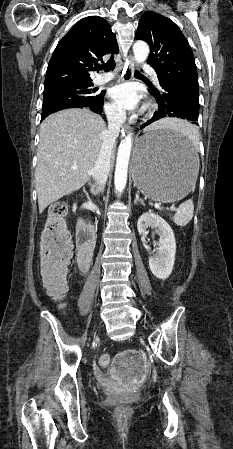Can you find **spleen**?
Returning <instances> with one entry per match:
<instances>
[{"mask_svg": "<svg viewBox=\"0 0 233 449\" xmlns=\"http://www.w3.org/2000/svg\"><path fill=\"white\" fill-rule=\"evenodd\" d=\"M172 133H182L183 138H186L187 142L199 141V134L196 132L195 124L173 125ZM193 212H194L193 201L189 199L183 202L182 204L179 205L178 212L173 216L174 223L178 226L187 225L193 217Z\"/></svg>", "mask_w": 233, "mask_h": 449, "instance_id": "3e777b00", "label": "spleen"}]
</instances>
